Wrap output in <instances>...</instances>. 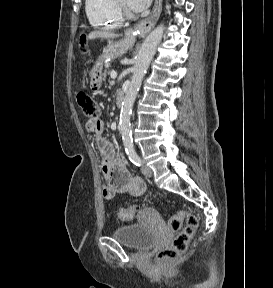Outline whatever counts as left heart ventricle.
I'll return each instance as SVG.
<instances>
[{
  "label": "left heart ventricle",
  "mask_w": 273,
  "mask_h": 288,
  "mask_svg": "<svg viewBox=\"0 0 273 288\" xmlns=\"http://www.w3.org/2000/svg\"><path fill=\"white\" fill-rule=\"evenodd\" d=\"M121 1H122V3H124L126 5V0H121Z\"/></svg>",
  "instance_id": "left-heart-ventricle-1"
}]
</instances>
